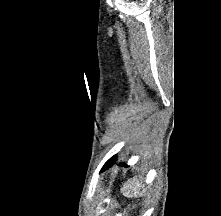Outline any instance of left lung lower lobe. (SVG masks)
<instances>
[{
  "mask_svg": "<svg viewBox=\"0 0 221 216\" xmlns=\"http://www.w3.org/2000/svg\"><path fill=\"white\" fill-rule=\"evenodd\" d=\"M115 160H116L115 156L112 157V158H110V159L105 163V165L103 166L102 171L105 170L106 168L112 166V165L115 163ZM122 165H123V164H122Z\"/></svg>",
  "mask_w": 221,
  "mask_h": 216,
  "instance_id": "0a47b994",
  "label": "left lung lower lobe"
}]
</instances>
